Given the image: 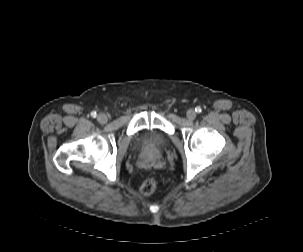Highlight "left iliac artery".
I'll use <instances>...</instances> for the list:
<instances>
[{
  "mask_svg": "<svg viewBox=\"0 0 303 252\" xmlns=\"http://www.w3.org/2000/svg\"><path fill=\"white\" fill-rule=\"evenodd\" d=\"M195 111H196L197 113H200V112L202 111V109H201L200 107H196V108H195Z\"/></svg>",
  "mask_w": 303,
  "mask_h": 252,
  "instance_id": "left-iliac-artery-1",
  "label": "left iliac artery"
}]
</instances>
